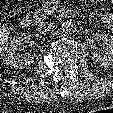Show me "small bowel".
Masks as SVG:
<instances>
[{
  "mask_svg": "<svg viewBox=\"0 0 113 113\" xmlns=\"http://www.w3.org/2000/svg\"><path fill=\"white\" fill-rule=\"evenodd\" d=\"M110 2L113 5V0ZM102 20L113 31V13L103 15Z\"/></svg>",
  "mask_w": 113,
  "mask_h": 113,
  "instance_id": "small-bowel-1",
  "label": "small bowel"
}]
</instances>
